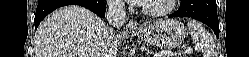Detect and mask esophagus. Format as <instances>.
<instances>
[{
  "label": "esophagus",
  "instance_id": "1",
  "mask_svg": "<svg viewBox=\"0 0 249 57\" xmlns=\"http://www.w3.org/2000/svg\"><path fill=\"white\" fill-rule=\"evenodd\" d=\"M139 29H140V27H139L137 21H135V20H130L129 23L127 24L128 31L134 32V31H138Z\"/></svg>",
  "mask_w": 249,
  "mask_h": 57
}]
</instances>
